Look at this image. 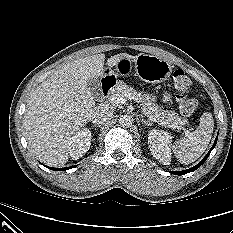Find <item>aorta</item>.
Instances as JSON below:
<instances>
[{"label": "aorta", "instance_id": "1", "mask_svg": "<svg viewBox=\"0 0 233 233\" xmlns=\"http://www.w3.org/2000/svg\"><path fill=\"white\" fill-rule=\"evenodd\" d=\"M119 124L124 127V128H128L130 126H132L133 124V118L130 115H121L118 119Z\"/></svg>", "mask_w": 233, "mask_h": 233}]
</instances>
